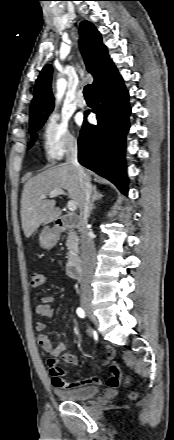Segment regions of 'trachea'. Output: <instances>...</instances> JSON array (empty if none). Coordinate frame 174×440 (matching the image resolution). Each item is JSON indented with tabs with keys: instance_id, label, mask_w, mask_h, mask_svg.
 Masks as SVG:
<instances>
[{
	"instance_id": "3493384b",
	"label": "trachea",
	"mask_w": 174,
	"mask_h": 440,
	"mask_svg": "<svg viewBox=\"0 0 174 440\" xmlns=\"http://www.w3.org/2000/svg\"><path fill=\"white\" fill-rule=\"evenodd\" d=\"M83 93L86 98H93L94 97L92 86L90 84L85 86Z\"/></svg>"
}]
</instances>
